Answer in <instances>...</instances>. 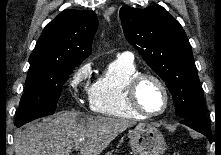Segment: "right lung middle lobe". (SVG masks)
I'll list each match as a JSON object with an SVG mask.
<instances>
[{"label":"right lung middle lobe","instance_id":"right-lung-middle-lobe-1","mask_svg":"<svg viewBox=\"0 0 221 155\" xmlns=\"http://www.w3.org/2000/svg\"><path fill=\"white\" fill-rule=\"evenodd\" d=\"M29 63L26 90L20 100L16 127L53 114L62 85L79 65L54 61H29Z\"/></svg>","mask_w":221,"mask_h":155}]
</instances>
